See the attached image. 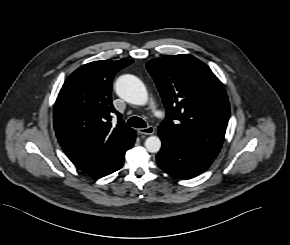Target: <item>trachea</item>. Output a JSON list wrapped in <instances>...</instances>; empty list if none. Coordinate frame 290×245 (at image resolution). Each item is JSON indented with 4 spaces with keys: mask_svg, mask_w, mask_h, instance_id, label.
<instances>
[{
    "mask_svg": "<svg viewBox=\"0 0 290 245\" xmlns=\"http://www.w3.org/2000/svg\"><path fill=\"white\" fill-rule=\"evenodd\" d=\"M127 125L136 128H145L146 122L143 119L134 116L127 121Z\"/></svg>",
    "mask_w": 290,
    "mask_h": 245,
    "instance_id": "trachea-1",
    "label": "trachea"
}]
</instances>
